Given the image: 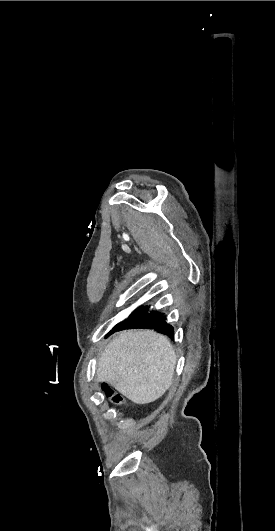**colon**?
<instances>
[{
  "mask_svg": "<svg viewBox=\"0 0 275 531\" xmlns=\"http://www.w3.org/2000/svg\"><path fill=\"white\" fill-rule=\"evenodd\" d=\"M102 394L111 400L116 405H124L125 402L122 399V397L119 395V393L115 392L110 386L107 384H102L101 387Z\"/></svg>",
  "mask_w": 275,
  "mask_h": 531,
  "instance_id": "colon-1",
  "label": "colon"
}]
</instances>
